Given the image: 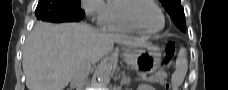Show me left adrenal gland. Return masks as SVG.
<instances>
[{
    "label": "left adrenal gland",
    "mask_w": 228,
    "mask_h": 90,
    "mask_svg": "<svg viewBox=\"0 0 228 90\" xmlns=\"http://www.w3.org/2000/svg\"><path fill=\"white\" fill-rule=\"evenodd\" d=\"M118 78H120V76H118ZM128 82H129V77L123 76V78L121 79V85H127Z\"/></svg>",
    "instance_id": "a2214340"
}]
</instances>
